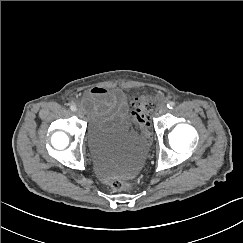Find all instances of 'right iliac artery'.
I'll return each instance as SVG.
<instances>
[{
  "mask_svg": "<svg viewBox=\"0 0 243 243\" xmlns=\"http://www.w3.org/2000/svg\"><path fill=\"white\" fill-rule=\"evenodd\" d=\"M70 109H71L72 111H76V110H77V108H76L75 105H71V106H70Z\"/></svg>",
  "mask_w": 243,
  "mask_h": 243,
  "instance_id": "obj_1",
  "label": "right iliac artery"
}]
</instances>
